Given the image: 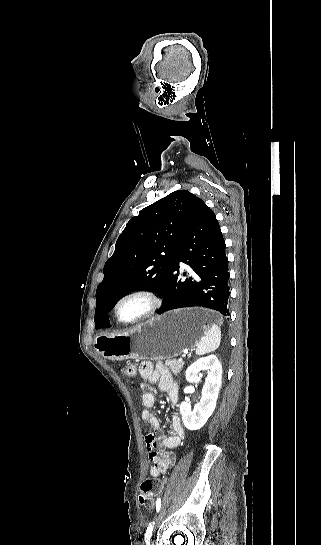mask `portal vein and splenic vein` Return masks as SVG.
Here are the masks:
<instances>
[{
    "instance_id": "obj_1",
    "label": "portal vein and splenic vein",
    "mask_w": 321,
    "mask_h": 545,
    "mask_svg": "<svg viewBox=\"0 0 321 545\" xmlns=\"http://www.w3.org/2000/svg\"><path fill=\"white\" fill-rule=\"evenodd\" d=\"M183 358H187L186 353H183ZM183 358H178V361H183Z\"/></svg>"
}]
</instances>
